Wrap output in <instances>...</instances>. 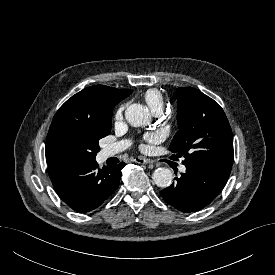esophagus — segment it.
I'll use <instances>...</instances> for the list:
<instances>
[{
  "mask_svg": "<svg viewBox=\"0 0 275 275\" xmlns=\"http://www.w3.org/2000/svg\"><path fill=\"white\" fill-rule=\"evenodd\" d=\"M135 162L139 163V164H149V163H152V160H150L148 158L137 157V158H135Z\"/></svg>",
  "mask_w": 275,
  "mask_h": 275,
  "instance_id": "obj_1",
  "label": "esophagus"
}]
</instances>
